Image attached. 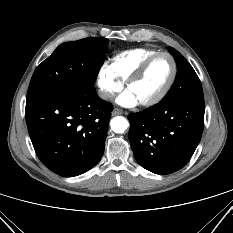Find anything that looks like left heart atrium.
<instances>
[{
	"mask_svg": "<svg viewBox=\"0 0 233 233\" xmlns=\"http://www.w3.org/2000/svg\"><path fill=\"white\" fill-rule=\"evenodd\" d=\"M117 103L123 107H133L138 104V100L135 95L129 91L125 90L118 98Z\"/></svg>",
	"mask_w": 233,
	"mask_h": 233,
	"instance_id": "1",
	"label": "left heart atrium"
}]
</instances>
